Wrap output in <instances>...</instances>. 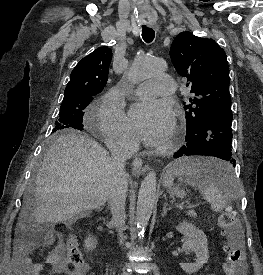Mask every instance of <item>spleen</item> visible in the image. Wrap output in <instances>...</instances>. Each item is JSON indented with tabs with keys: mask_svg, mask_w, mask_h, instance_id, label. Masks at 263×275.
Listing matches in <instances>:
<instances>
[{
	"mask_svg": "<svg viewBox=\"0 0 263 275\" xmlns=\"http://www.w3.org/2000/svg\"><path fill=\"white\" fill-rule=\"evenodd\" d=\"M173 175L197 188L214 212L224 210L227 201L237 198L240 183L230 163L217 158L185 157L169 166Z\"/></svg>",
	"mask_w": 263,
	"mask_h": 275,
	"instance_id": "3e777b00",
	"label": "spleen"
}]
</instances>
